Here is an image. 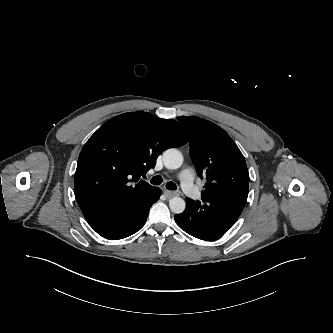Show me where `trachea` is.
<instances>
[{"label": "trachea", "instance_id": "obj_1", "mask_svg": "<svg viewBox=\"0 0 333 333\" xmlns=\"http://www.w3.org/2000/svg\"><path fill=\"white\" fill-rule=\"evenodd\" d=\"M150 182L153 184V185H160L162 182H163V179L161 176L157 175V176H154ZM166 188L169 189V190H175L177 189V186L175 183L173 182H168L166 184Z\"/></svg>", "mask_w": 333, "mask_h": 333}]
</instances>
